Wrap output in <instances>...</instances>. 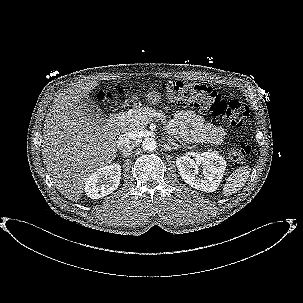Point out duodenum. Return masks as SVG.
I'll return each instance as SVG.
<instances>
[{
	"instance_id": "1",
	"label": "duodenum",
	"mask_w": 303,
	"mask_h": 303,
	"mask_svg": "<svg viewBox=\"0 0 303 303\" xmlns=\"http://www.w3.org/2000/svg\"><path fill=\"white\" fill-rule=\"evenodd\" d=\"M119 116H117V115H114V116H112L109 120H108V126L109 127H114V126H116L117 125V123H118V120H119Z\"/></svg>"
}]
</instances>
